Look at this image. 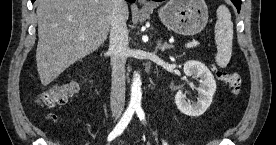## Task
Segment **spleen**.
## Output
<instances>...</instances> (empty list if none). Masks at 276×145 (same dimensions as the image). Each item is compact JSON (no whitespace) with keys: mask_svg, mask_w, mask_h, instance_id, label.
I'll return each instance as SVG.
<instances>
[{"mask_svg":"<svg viewBox=\"0 0 276 145\" xmlns=\"http://www.w3.org/2000/svg\"><path fill=\"white\" fill-rule=\"evenodd\" d=\"M215 42L217 53L215 61L221 68L227 66L232 54L233 23L231 14L225 5H220L216 11Z\"/></svg>","mask_w":276,"mask_h":145,"instance_id":"obj_1","label":"spleen"}]
</instances>
